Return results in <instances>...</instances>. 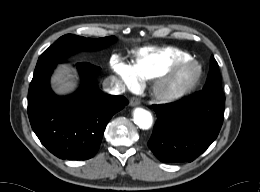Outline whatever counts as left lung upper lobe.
Listing matches in <instances>:
<instances>
[{"label":"left lung upper lobe","mask_w":260,"mask_h":192,"mask_svg":"<svg viewBox=\"0 0 260 192\" xmlns=\"http://www.w3.org/2000/svg\"><path fill=\"white\" fill-rule=\"evenodd\" d=\"M204 90L208 89H222L221 88V76L218 69V64L214 57L211 58L210 71L206 84L203 87Z\"/></svg>","instance_id":"5c2ea615"}]
</instances>
